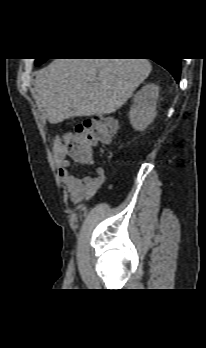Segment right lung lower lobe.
<instances>
[{
    "label": "right lung lower lobe",
    "instance_id": "1",
    "mask_svg": "<svg viewBox=\"0 0 206 348\" xmlns=\"http://www.w3.org/2000/svg\"><path fill=\"white\" fill-rule=\"evenodd\" d=\"M164 68H166L172 76L175 78L176 82L178 83L180 80V74H181V59H159L154 60Z\"/></svg>",
    "mask_w": 206,
    "mask_h": 348
}]
</instances>
